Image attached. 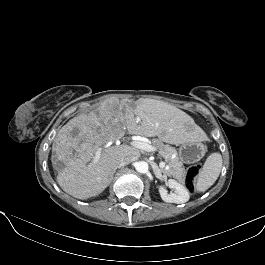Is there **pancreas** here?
I'll return each instance as SVG.
<instances>
[{"instance_id": "cf45deb5", "label": "pancreas", "mask_w": 265, "mask_h": 265, "mask_svg": "<svg viewBox=\"0 0 265 265\" xmlns=\"http://www.w3.org/2000/svg\"><path fill=\"white\" fill-rule=\"evenodd\" d=\"M153 146L157 148L160 156L165 159V163L168 166V169L161 168V171L168 176H173L177 180L183 181L185 178V169L183 167V163L177 156L175 148L169 145H164L159 140H154Z\"/></svg>"}]
</instances>
